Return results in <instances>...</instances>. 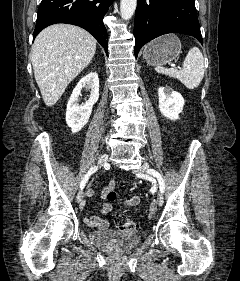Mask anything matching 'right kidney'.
Here are the masks:
<instances>
[{
    "instance_id": "ca27d5eb",
    "label": "right kidney",
    "mask_w": 240,
    "mask_h": 281,
    "mask_svg": "<svg viewBox=\"0 0 240 281\" xmlns=\"http://www.w3.org/2000/svg\"><path fill=\"white\" fill-rule=\"evenodd\" d=\"M82 88L91 89L89 99L78 105V98ZM99 98V79L96 72H91L84 76L74 88L67 104L66 123L71 128L72 133L80 131L89 120L93 105Z\"/></svg>"
}]
</instances>
